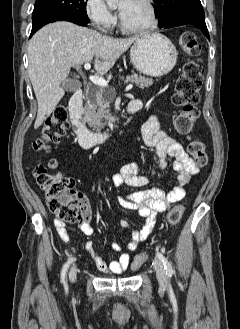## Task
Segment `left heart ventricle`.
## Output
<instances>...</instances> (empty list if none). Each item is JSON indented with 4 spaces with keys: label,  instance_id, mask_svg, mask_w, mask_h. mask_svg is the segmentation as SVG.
I'll return each instance as SVG.
<instances>
[{
    "label": "left heart ventricle",
    "instance_id": "obj_1",
    "mask_svg": "<svg viewBox=\"0 0 240 329\" xmlns=\"http://www.w3.org/2000/svg\"><path fill=\"white\" fill-rule=\"evenodd\" d=\"M118 9L128 27H142L150 22L149 10L143 0H123Z\"/></svg>",
    "mask_w": 240,
    "mask_h": 329
}]
</instances>
